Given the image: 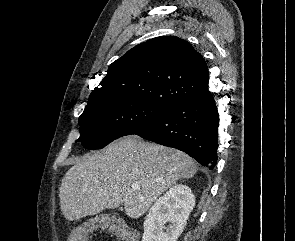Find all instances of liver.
Segmentation results:
<instances>
[{
    "label": "liver",
    "mask_w": 295,
    "mask_h": 241,
    "mask_svg": "<svg viewBox=\"0 0 295 241\" xmlns=\"http://www.w3.org/2000/svg\"><path fill=\"white\" fill-rule=\"evenodd\" d=\"M196 172L195 161L184 152L127 136L76 159L62 179L60 208L69 221L120 205L127 216L139 218L179 179ZM133 184L139 188L133 190Z\"/></svg>",
    "instance_id": "obj_1"
}]
</instances>
